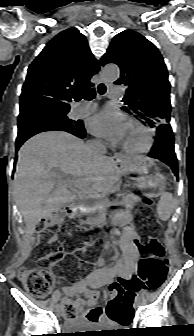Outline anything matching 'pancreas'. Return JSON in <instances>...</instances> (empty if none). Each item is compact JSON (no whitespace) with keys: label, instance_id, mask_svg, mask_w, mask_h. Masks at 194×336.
I'll return each mask as SVG.
<instances>
[{"label":"pancreas","instance_id":"1","mask_svg":"<svg viewBox=\"0 0 194 336\" xmlns=\"http://www.w3.org/2000/svg\"><path fill=\"white\" fill-rule=\"evenodd\" d=\"M129 204H132V201L129 198H126L125 195H123V199L119 200L112 198L109 203H104V205L100 207L97 206L98 208L95 212V218L101 226H104L116 212L120 213L121 211L125 212L126 210H130L131 206ZM106 211H109L107 215Z\"/></svg>","mask_w":194,"mask_h":336}]
</instances>
